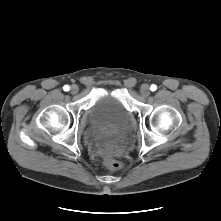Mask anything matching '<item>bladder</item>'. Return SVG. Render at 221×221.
Returning <instances> with one entry per match:
<instances>
[{
	"label": "bladder",
	"mask_w": 221,
	"mask_h": 221,
	"mask_svg": "<svg viewBox=\"0 0 221 221\" xmlns=\"http://www.w3.org/2000/svg\"><path fill=\"white\" fill-rule=\"evenodd\" d=\"M131 112L116 92H107L96 98L89 110L88 129L97 139L114 145L130 129Z\"/></svg>",
	"instance_id": "bladder-1"
}]
</instances>
